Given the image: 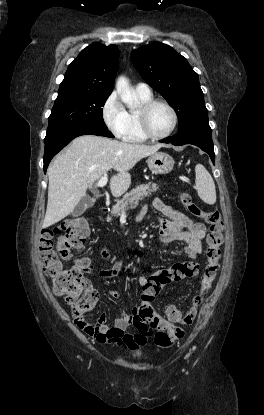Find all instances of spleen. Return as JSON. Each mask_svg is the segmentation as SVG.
Segmentation results:
<instances>
[{
    "instance_id": "spleen-1",
    "label": "spleen",
    "mask_w": 264,
    "mask_h": 415,
    "mask_svg": "<svg viewBox=\"0 0 264 415\" xmlns=\"http://www.w3.org/2000/svg\"><path fill=\"white\" fill-rule=\"evenodd\" d=\"M195 184L199 197L207 204L216 202V189L213 178L202 164L195 167Z\"/></svg>"
}]
</instances>
